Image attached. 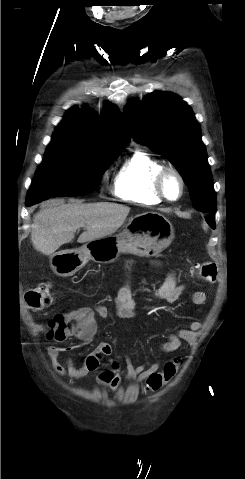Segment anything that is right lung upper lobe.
<instances>
[{
	"label": "right lung upper lobe",
	"instance_id": "right-lung-upper-lobe-1",
	"mask_svg": "<svg viewBox=\"0 0 245 479\" xmlns=\"http://www.w3.org/2000/svg\"><path fill=\"white\" fill-rule=\"evenodd\" d=\"M52 138L77 141L90 148L121 151L131 139L121 113L114 108H109V113L101 117L77 108L68 110Z\"/></svg>",
	"mask_w": 245,
	"mask_h": 479
}]
</instances>
